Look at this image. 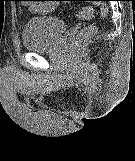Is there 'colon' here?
Returning <instances> with one entry per match:
<instances>
[{"label": "colon", "mask_w": 135, "mask_h": 161, "mask_svg": "<svg viewBox=\"0 0 135 161\" xmlns=\"http://www.w3.org/2000/svg\"><path fill=\"white\" fill-rule=\"evenodd\" d=\"M32 1V0H29ZM101 6V15L105 17L108 13V8L105 4H99ZM94 13L93 5H84L81 9V16L89 18ZM96 33V27L93 25L85 27L80 31L72 42V46L75 50L81 49L88 39H90Z\"/></svg>", "instance_id": "colon-1"}]
</instances>
